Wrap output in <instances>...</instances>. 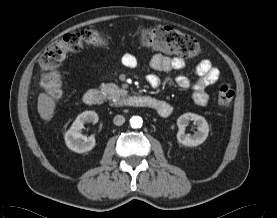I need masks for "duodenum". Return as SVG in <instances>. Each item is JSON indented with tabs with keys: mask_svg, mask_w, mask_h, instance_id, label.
<instances>
[{
	"mask_svg": "<svg viewBox=\"0 0 277 218\" xmlns=\"http://www.w3.org/2000/svg\"><path fill=\"white\" fill-rule=\"evenodd\" d=\"M83 100L88 105H101L104 102V96L100 90L92 88L85 92ZM162 102L163 101L156 99L150 95L135 94L126 97L121 102V106L148 108L156 110L158 112V109L162 106ZM170 113L171 111L166 115H160L168 116Z\"/></svg>",
	"mask_w": 277,
	"mask_h": 218,
	"instance_id": "duodenum-1",
	"label": "duodenum"
}]
</instances>
